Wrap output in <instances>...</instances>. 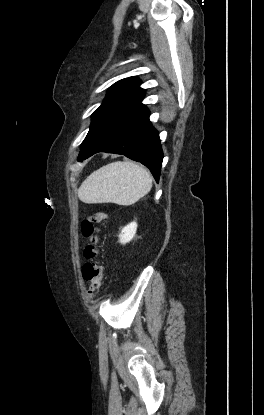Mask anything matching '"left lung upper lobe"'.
<instances>
[{
    "label": "left lung upper lobe",
    "mask_w": 264,
    "mask_h": 415,
    "mask_svg": "<svg viewBox=\"0 0 264 415\" xmlns=\"http://www.w3.org/2000/svg\"><path fill=\"white\" fill-rule=\"evenodd\" d=\"M139 85L140 81L135 79L134 77L122 79L113 84L111 88L108 90L107 96L103 103L92 114V123L90 126V130L96 123V121L99 119V117L108 109L129 97L143 93L145 90L140 88Z\"/></svg>",
    "instance_id": "1"
}]
</instances>
